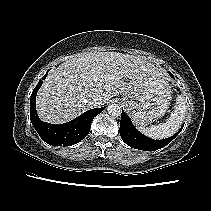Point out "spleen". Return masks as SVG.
I'll return each instance as SVG.
<instances>
[{
	"mask_svg": "<svg viewBox=\"0 0 211 211\" xmlns=\"http://www.w3.org/2000/svg\"><path fill=\"white\" fill-rule=\"evenodd\" d=\"M186 103L184 97L179 95L174 106V111L165 123L151 125L149 127H139L145 135L154 139H163L173 135L183 123L185 118Z\"/></svg>",
	"mask_w": 211,
	"mask_h": 211,
	"instance_id": "spleen-1",
	"label": "spleen"
}]
</instances>
